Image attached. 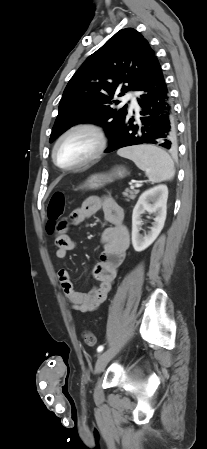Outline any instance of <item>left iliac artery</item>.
<instances>
[{
	"instance_id": "left-iliac-artery-1",
	"label": "left iliac artery",
	"mask_w": 207,
	"mask_h": 449,
	"mask_svg": "<svg viewBox=\"0 0 207 449\" xmlns=\"http://www.w3.org/2000/svg\"><path fill=\"white\" fill-rule=\"evenodd\" d=\"M103 349H104V346H103V345H100V346L97 348V351H98V352H102Z\"/></svg>"
}]
</instances>
